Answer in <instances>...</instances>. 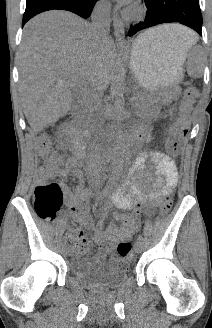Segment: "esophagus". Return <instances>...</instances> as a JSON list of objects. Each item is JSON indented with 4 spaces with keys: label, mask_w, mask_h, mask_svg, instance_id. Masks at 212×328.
<instances>
[{
    "label": "esophagus",
    "mask_w": 212,
    "mask_h": 328,
    "mask_svg": "<svg viewBox=\"0 0 212 328\" xmlns=\"http://www.w3.org/2000/svg\"><path fill=\"white\" fill-rule=\"evenodd\" d=\"M112 20H113L114 34H115L116 38L123 39L124 38V25L118 15L116 8H114Z\"/></svg>",
    "instance_id": "1"
}]
</instances>
